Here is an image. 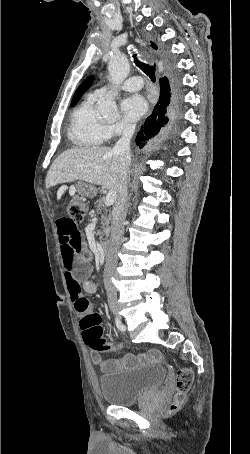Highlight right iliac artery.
I'll use <instances>...</instances> for the list:
<instances>
[{"label":"right iliac artery","mask_w":250,"mask_h":454,"mask_svg":"<svg viewBox=\"0 0 250 454\" xmlns=\"http://www.w3.org/2000/svg\"><path fill=\"white\" fill-rule=\"evenodd\" d=\"M115 324L120 331H125V326L118 318H115Z\"/></svg>","instance_id":"82829eb1"}]
</instances>
